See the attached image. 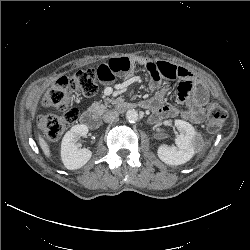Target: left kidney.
<instances>
[{
	"label": "left kidney",
	"instance_id": "obj_1",
	"mask_svg": "<svg viewBox=\"0 0 250 250\" xmlns=\"http://www.w3.org/2000/svg\"><path fill=\"white\" fill-rule=\"evenodd\" d=\"M174 126L179 135L175 139V146H160L157 154L161 161L168 165H181L188 162L195 154L198 135L191 124L183 120H175Z\"/></svg>",
	"mask_w": 250,
	"mask_h": 250
}]
</instances>
